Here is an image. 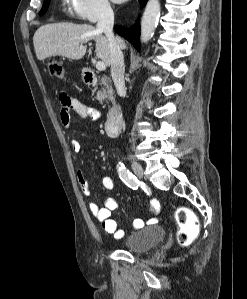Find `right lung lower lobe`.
I'll list each match as a JSON object with an SVG mask.
<instances>
[{
    "instance_id": "obj_1",
    "label": "right lung lower lobe",
    "mask_w": 247,
    "mask_h": 299,
    "mask_svg": "<svg viewBox=\"0 0 247 299\" xmlns=\"http://www.w3.org/2000/svg\"><path fill=\"white\" fill-rule=\"evenodd\" d=\"M148 0H139L141 5H146ZM114 31L128 40L132 45L140 51V26H139V19H137L136 23L132 26V28H122L119 26L114 27Z\"/></svg>"
}]
</instances>
